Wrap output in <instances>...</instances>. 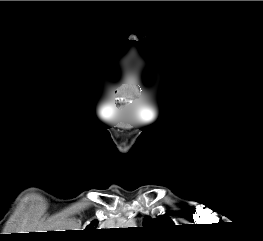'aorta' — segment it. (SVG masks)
<instances>
[{"label": "aorta", "instance_id": "1", "mask_svg": "<svg viewBox=\"0 0 263 241\" xmlns=\"http://www.w3.org/2000/svg\"><path fill=\"white\" fill-rule=\"evenodd\" d=\"M124 225L127 226V227L128 226H132V225H134V222L132 220H128V221L124 222Z\"/></svg>", "mask_w": 263, "mask_h": 241}]
</instances>
